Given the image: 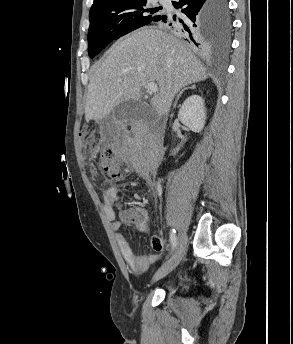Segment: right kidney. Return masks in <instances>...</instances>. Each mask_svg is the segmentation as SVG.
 Masks as SVG:
<instances>
[{"mask_svg":"<svg viewBox=\"0 0 293 344\" xmlns=\"http://www.w3.org/2000/svg\"><path fill=\"white\" fill-rule=\"evenodd\" d=\"M179 120L193 132H201L206 120L204 100L199 95L188 97L178 112Z\"/></svg>","mask_w":293,"mask_h":344,"instance_id":"ca27d5eb","label":"right kidney"}]
</instances>
